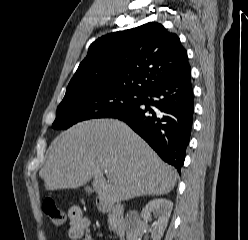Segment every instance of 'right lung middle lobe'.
I'll return each mask as SVG.
<instances>
[{"instance_id": "obj_1", "label": "right lung middle lobe", "mask_w": 248, "mask_h": 240, "mask_svg": "<svg viewBox=\"0 0 248 240\" xmlns=\"http://www.w3.org/2000/svg\"><path fill=\"white\" fill-rule=\"evenodd\" d=\"M144 94L104 88L66 90L57 108L54 129H67L73 124L92 118L110 117L138 104Z\"/></svg>"}]
</instances>
